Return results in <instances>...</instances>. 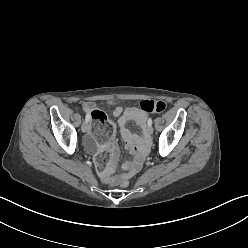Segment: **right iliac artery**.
Masks as SVG:
<instances>
[{
	"instance_id": "right-iliac-artery-1",
	"label": "right iliac artery",
	"mask_w": 248,
	"mask_h": 248,
	"mask_svg": "<svg viewBox=\"0 0 248 248\" xmlns=\"http://www.w3.org/2000/svg\"><path fill=\"white\" fill-rule=\"evenodd\" d=\"M89 120H90V115H89V114H87V115H86V118H85V121H87V122H88Z\"/></svg>"
}]
</instances>
